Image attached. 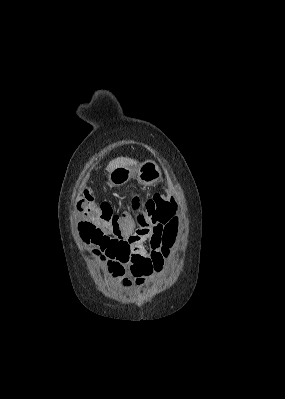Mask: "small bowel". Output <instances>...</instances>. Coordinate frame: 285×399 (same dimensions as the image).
<instances>
[{
	"label": "small bowel",
	"instance_id": "c3829d8e",
	"mask_svg": "<svg viewBox=\"0 0 285 399\" xmlns=\"http://www.w3.org/2000/svg\"><path fill=\"white\" fill-rule=\"evenodd\" d=\"M153 223V215L147 217L145 224L135 228L131 224L122 223L118 228V235L121 238L129 240L132 244V248L135 250V254H138L144 258H151V256L157 252L164 243L165 231L163 228H156ZM176 225L172 228V231L176 232ZM148 241L149 248L145 249L142 247V242ZM123 273L117 276H122Z\"/></svg>",
	"mask_w": 285,
	"mask_h": 399
}]
</instances>
